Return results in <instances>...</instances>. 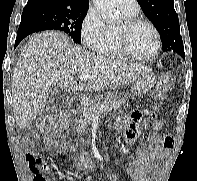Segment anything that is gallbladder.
<instances>
[{"label":"gallbladder","mask_w":197,"mask_h":181,"mask_svg":"<svg viewBox=\"0 0 197 181\" xmlns=\"http://www.w3.org/2000/svg\"><path fill=\"white\" fill-rule=\"evenodd\" d=\"M49 92L50 93H54V90L51 89ZM49 105H50V107H53V105H54V99L49 101Z\"/></svg>","instance_id":"gallbladder-1"}]
</instances>
